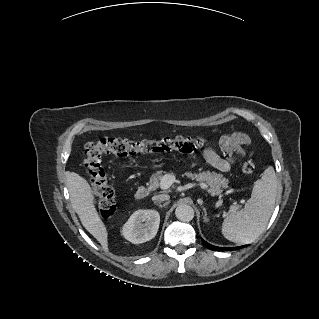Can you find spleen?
<instances>
[{"label": "spleen", "mask_w": 319, "mask_h": 319, "mask_svg": "<svg viewBox=\"0 0 319 319\" xmlns=\"http://www.w3.org/2000/svg\"><path fill=\"white\" fill-rule=\"evenodd\" d=\"M279 183L272 166L262 173L243 209L231 212L223 221L222 234L234 243H247L265 230L274 210Z\"/></svg>", "instance_id": "obj_1"}]
</instances>
